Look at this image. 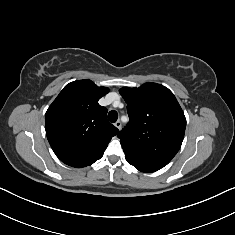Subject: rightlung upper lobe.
Wrapping results in <instances>:
<instances>
[{
  "label": "right lung upper lobe",
  "instance_id": "cb5924a9",
  "mask_svg": "<svg viewBox=\"0 0 235 235\" xmlns=\"http://www.w3.org/2000/svg\"><path fill=\"white\" fill-rule=\"evenodd\" d=\"M109 92L91 80L67 84L45 114V130L56 156L72 167L99 160L119 130L107 121L98 100Z\"/></svg>",
  "mask_w": 235,
  "mask_h": 235
}]
</instances>
